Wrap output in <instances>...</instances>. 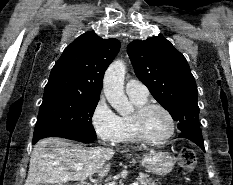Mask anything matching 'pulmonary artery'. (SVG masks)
Segmentation results:
<instances>
[{
  "instance_id": "pulmonary-artery-1",
  "label": "pulmonary artery",
  "mask_w": 233,
  "mask_h": 185,
  "mask_svg": "<svg viewBox=\"0 0 233 185\" xmlns=\"http://www.w3.org/2000/svg\"><path fill=\"white\" fill-rule=\"evenodd\" d=\"M125 88L130 97L147 98L149 94L147 87L136 79L128 80Z\"/></svg>"
}]
</instances>
